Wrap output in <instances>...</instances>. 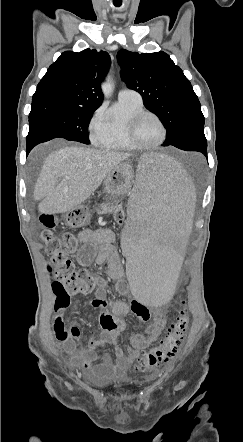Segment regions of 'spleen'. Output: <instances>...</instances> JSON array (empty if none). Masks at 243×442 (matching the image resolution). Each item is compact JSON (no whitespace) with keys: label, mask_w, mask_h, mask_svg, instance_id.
Returning <instances> with one entry per match:
<instances>
[{"label":"spleen","mask_w":243,"mask_h":442,"mask_svg":"<svg viewBox=\"0 0 243 442\" xmlns=\"http://www.w3.org/2000/svg\"><path fill=\"white\" fill-rule=\"evenodd\" d=\"M129 217L123 228L125 280L141 307H163L177 291L186 233L195 226V194L189 172L160 154L141 157L130 185Z\"/></svg>","instance_id":"obj_1"}]
</instances>
